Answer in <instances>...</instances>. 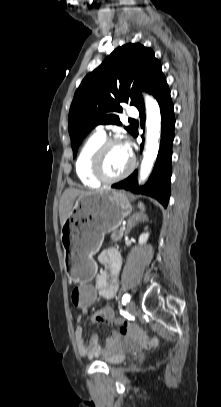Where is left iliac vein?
Segmentation results:
<instances>
[{"label": "left iliac vein", "mask_w": 221, "mask_h": 407, "mask_svg": "<svg viewBox=\"0 0 221 407\" xmlns=\"http://www.w3.org/2000/svg\"><path fill=\"white\" fill-rule=\"evenodd\" d=\"M135 302L134 301H129L127 303L126 309L128 311V313H133L135 311Z\"/></svg>", "instance_id": "1"}]
</instances>
